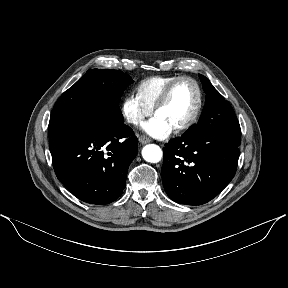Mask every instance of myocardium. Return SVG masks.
Returning a JSON list of instances; mask_svg holds the SVG:
<instances>
[{
    "mask_svg": "<svg viewBox=\"0 0 288 288\" xmlns=\"http://www.w3.org/2000/svg\"><path fill=\"white\" fill-rule=\"evenodd\" d=\"M183 81L191 82L194 85L196 92H197V103H196V107L194 109L193 114L185 123H183L179 126H176V127H172L173 130L177 133L190 129L193 125L196 124V122L199 119V116L201 114L202 107H203V93H202V90H201L199 83L194 78H192L190 76H179V77L175 78L174 80H172L166 86V88L163 90V92L161 93V95L159 96L158 100L156 101V103L154 105V111H155V113H157L158 110L160 108H162L167 103V101L169 100L170 95H171L172 91L174 90V88L176 87V85L179 84L180 82H183Z\"/></svg>",
    "mask_w": 288,
    "mask_h": 288,
    "instance_id": "1",
    "label": "myocardium"
}]
</instances>
